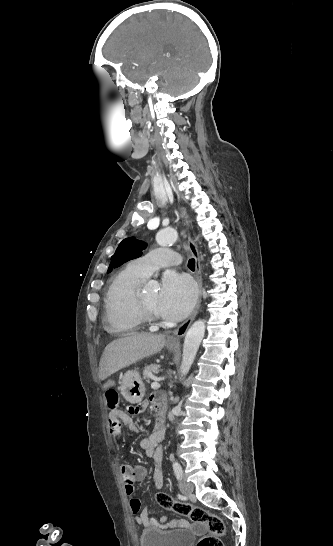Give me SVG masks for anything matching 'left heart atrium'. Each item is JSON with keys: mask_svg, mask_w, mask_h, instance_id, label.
Masks as SVG:
<instances>
[{"mask_svg": "<svg viewBox=\"0 0 333 546\" xmlns=\"http://www.w3.org/2000/svg\"><path fill=\"white\" fill-rule=\"evenodd\" d=\"M195 300V287L185 275L173 271L164 274L157 302L159 315L172 321L181 320L190 313Z\"/></svg>", "mask_w": 333, "mask_h": 546, "instance_id": "1", "label": "left heart atrium"}]
</instances>
